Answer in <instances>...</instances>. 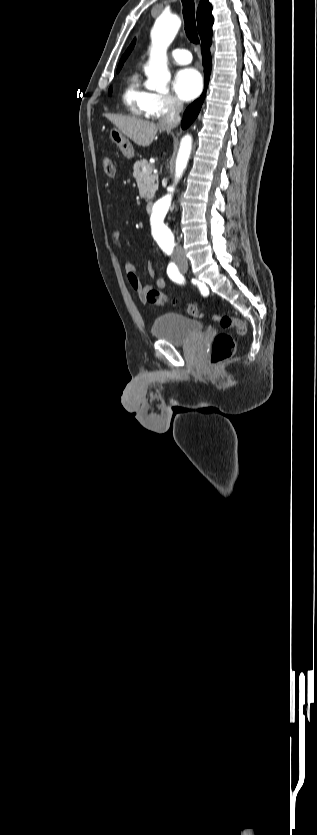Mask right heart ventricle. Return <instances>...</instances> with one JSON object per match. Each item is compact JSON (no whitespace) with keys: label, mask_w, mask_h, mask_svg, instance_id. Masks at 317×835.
Instances as JSON below:
<instances>
[{"label":"right heart ventricle","mask_w":317,"mask_h":835,"mask_svg":"<svg viewBox=\"0 0 317 835\" xmlns=\"http://www.w3.org/2000/svg\"><path fill=\"white\" fill-rule=\"evenodd\" d=\"M151 94L149 90L142 86L137 72L128 76L122 97L131 114L141 117L147 116V106Z\"/></svg>","instance_id":"obj_1"}]
</instances>
